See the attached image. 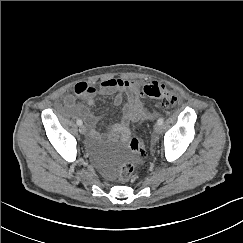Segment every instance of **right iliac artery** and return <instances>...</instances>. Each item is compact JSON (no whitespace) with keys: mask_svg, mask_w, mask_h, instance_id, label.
Here are the masks:
<instances>
[{"mask_svg":"<svg viewBox=\"0 0 243 243\" xmlns=\"http://www.w3.org/2000/svg\"><path fill=\"white\" fill-rule=\"evenodd\" d=\"M82 123H83L82 120H80V119L77 120V125L80 126V125H82Z\"/></svg>","mask_w":243,"mask_h":243,"instance_id":"obj_1","label":"right iliac artery"}]
</instances>
